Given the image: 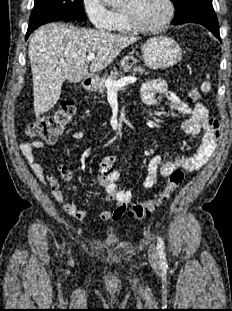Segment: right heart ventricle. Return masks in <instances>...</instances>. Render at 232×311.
Listing matches in <instances>:
<instances>
[{
    "label": "right heart ventricle",
    "mask_w": 232,
    "mask_h": 311,
    "mask_svg": "<svg viewBox=\"0 0 232 311\" xmlns=\"http://www.w3.org/2000/svg\"><path fill=\"white\" fill-rule=\"evenodd\" d=\"M115 14H116V22L111 30L119 33H129L131 29L129 28L125 20L123 12L117 10L115 11Z\"/></svg>",
    "instance_id": "right-heart-ventricle-1"
}]
</instances>
